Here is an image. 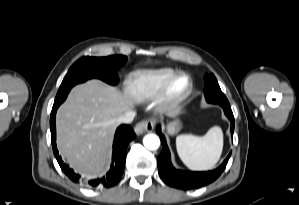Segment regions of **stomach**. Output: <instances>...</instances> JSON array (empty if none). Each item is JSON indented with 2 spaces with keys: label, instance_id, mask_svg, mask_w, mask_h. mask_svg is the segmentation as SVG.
Masks as SVG:
<instances>
[{
  "label": "stomach",
  "instance_id": "1",
  "mask_svg": "<svg viewBox=\"0 0 299 205\" xmlns=\"http://www.w3.org/2000/svg\"><path fill=\"white\" fill-rule=\"evenodd\" d=\"M180 128V123L178 121L172 122L168 125L167 131L169 134L176 133Z\"/></svg>",
  "mask_w": 299,
  "mask_h": 205
}]
</instances>
